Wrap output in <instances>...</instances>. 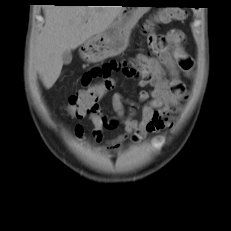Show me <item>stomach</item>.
Listing matches in <instances>:
<instances>
[{
	"label": "stomach",
	"mask_w": 231,
	"mask_h": 231,
	"mask_svg": "<svg viewBox=\"0 0 231 231\" xmlns=\"http://www.w3.org/2000/svg\"><path fill=\"white\" fill-rule=\"evenodd\" d=\"M127 3L141 4L146 2L129 0ZM149 8L123 7L116 20L109 27L84 42V51H81L82 57L95 63L120 55L128 46L132 29Z\"/></svg>",
	"instance_id": "stomach-1"
}]
</instances>
